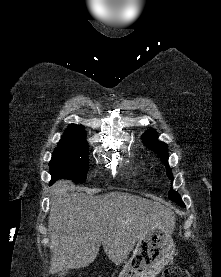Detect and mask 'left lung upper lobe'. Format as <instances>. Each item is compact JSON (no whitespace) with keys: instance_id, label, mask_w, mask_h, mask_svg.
<instances>
[{"instance_id":"obj_1","label":"left lung upper lobe","mask_w":221,"mask_h":277,"mask_svg":"<svg viewBox=\"0 0 221 277\" xmlns=\"http://www.w3.org/2000/svg\"><path fill=\"white\" fill-rule=\"evenodd\" d=\"M157 137H158L157 132L154 129L147 130L141 136V138L143 140V143L149 149L153 150L155 153H157L159 155L162 162L167 167V170H166L167 176L170 179H173V176L171 174V169L169 168V165H168L169 155H168V152H167V145L163 142L158 141ZM169 199H171L172 201L178 203L179 205H183V202H182V199H181L180 195L177 192L173 191V190H170V192H169Z\"/></svg>"}]
</instances>
